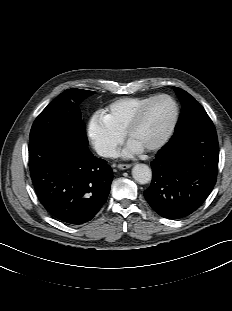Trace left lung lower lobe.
<instances>
[{"label": "left lung lower lobe", "instance_id": "left-lung-lower-lobe-1", "mask_svg": "<svg viewBox=\"0 0 232 311\" xmlns=\"http://www.w3.org/2000/svg\"><path fill=\"white\" fill-rule=\"evenodd\" d=\"M218 160L217 134L209 117L182 125L151 162L153 179L145 199L164 218L188 216L213 190Z\"/></svg>", "mask_w": 232, "mask_h": 311}]
</instances>
